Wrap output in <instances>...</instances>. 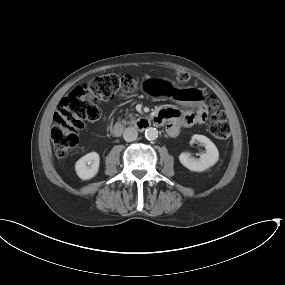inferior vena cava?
<instances>
[{
  "instance_id": "602c4592",
  "label": "inferior vena cava",
  "mask_w": 285,
  "mask_h": 285,
  "mask_svg": "<svg viewBox=\"0 0 285 285\" xmlns=\"http://www.w3.org/2000/svg\"><path fill=\"white\" fill-rule=\"evenodd\" d=\"M138 137V132L134 127H128L125 129L123 138L127 142H132Z\"/></svg>"
}]
</instances>
